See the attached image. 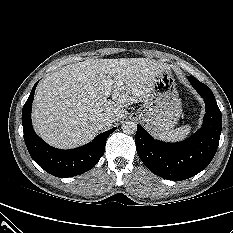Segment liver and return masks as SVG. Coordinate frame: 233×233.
<instances>
[{
  "label": "liver",
  "mask_w": 233,
  "mask_h": 233,
  "mask_svg": "<svg viewBox=\"0 0 233 233\" xmlns=\"http://www.w3.org/2000/svg\"><path fill=\"white\" fill-rule=\"evenodd\" d=\"M164 70H168L166 65L148 58H88L66 65L38 84L34 128L57 148L84 145L98 134L99 116L121 120L126 115L124 107L149 98L156 76ZM106 80L113 82L112 101L104 95Z\"/></svg>",
  "instance_id": "obj_1"
}]
</instances>
